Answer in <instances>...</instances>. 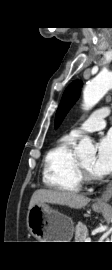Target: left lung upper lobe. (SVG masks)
Listing matches in <instances>:
<instances>
[{
    "instance_id": "1",
    "label": "left lung upper lobe",
    "mask_w": 112,
    "mask_h": 270,
    "mask_svg": "<svg viewBox=\"0 0 112 270\" xmlns=\"http://www.w3.org/2000/svg\"><path fill=\"white\" fill-rule=\"evenodd\" d=\"M81 81L72 82L65 90L55 117V128L62 122L72 104L76 102L80 94Z\"/></svg>"
}]
</instances>
